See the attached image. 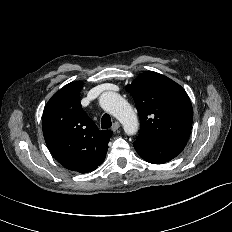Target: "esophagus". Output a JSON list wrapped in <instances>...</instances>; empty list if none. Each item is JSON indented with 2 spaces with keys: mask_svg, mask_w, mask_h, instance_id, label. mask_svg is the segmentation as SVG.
Segmentation results:
<instances>
[{
  "mask_svg": "<svg viewBox=\"0 0 232 232\" xmlns=\"http://www.w3.org/2000/svg\"><path fill=\"white\" fill-rule=\"evenodd\" d=\"M119 127H120L119 122H115L111 129L113 132H116L119 129Z\"/></svg>",
  "mask_w": 232,
  "mask_h": 232,
  "instance_id": "34e87169",
  "label": "esophagus"
}]
</instances>
